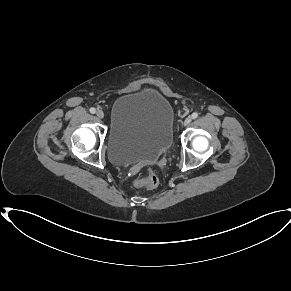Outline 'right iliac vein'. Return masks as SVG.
Returning <instances> with one entry per match:
<instances>
[{"instance_id":"1","label":"right iliac vein","mask_w":291,"mask_h":291,"mask_svg":"<svg viewBox=\"0 0 291 291\" xmlns=\"http://www.w3.org/2000/svg\"><path fill=\"white\" fill-rule=\"evenodd\" d=\"M96 115H97V117L100 118V119L104 118V112H103L102 110H98V111L96 112Z\"/></svg>"}]
</instances>
